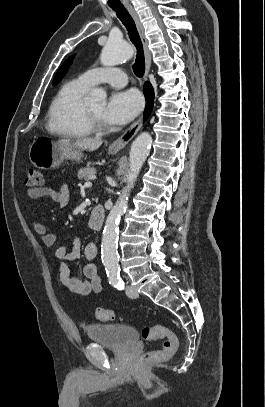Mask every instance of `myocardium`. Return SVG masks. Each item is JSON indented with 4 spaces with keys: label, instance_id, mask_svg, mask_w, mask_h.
Segmentation results:
<instances>
[{
    "label": "myocardium",
    "instance_id": "obj_1",
    "mask_svg": "<svg viewBox=\"0 0 265 407\" xmlns=\"http://www.w3.org/2000/svg\"><path fill=\"white\" fill-rule=\"evenodd\" d=\"M84 118L87 127L92 133H106L109 131V128L104 124L89 108L84 106L83 109Z\"/></svg>",
    "mask_w": 265,
    "mask_h": 407
}]
</instances>
